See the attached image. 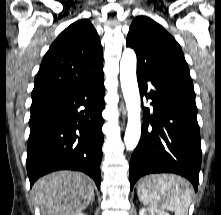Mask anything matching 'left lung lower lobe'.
<instances>
[{"label": "left lung lower lobe", "mask_w": 221, "mask_h": 215, "mask_svg": "<svg viewBox=\"0 0 221 215\" xmlns=\"http://www.w3.org/2000/svg\"><path fill=\"white\" fill-rule=\"evenodd\" d=\"M140 92L151 99L153 113L144 107L140 141L130 160L131 189L150 173H176L198 189L201 167L200 130L195 93L176 81L137 71ZM147 82L153 88L147 92Z\"/></svg>", "instance_id": "0a47b994"}]
</instances>
